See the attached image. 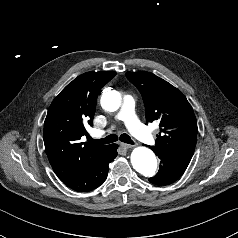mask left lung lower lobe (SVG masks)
I'll return each instance as SVG.
<instances>
[{"mask_svg":"<svg viewBox=\"0 0 238 238\" xmlns=\"http://www.w3.org/2000/svg\"><path fill=\"white\" fill-rule=\"evenodd\" d=\"M155 154L161 159V165L158 173L149 178V181L156 185H169L179 179L185 172L191 158L170 153L167 151L153 150Z\"/></svg>","mask_w":238,"mask_h":238,"instance_id":"obj_1","label":"left lung lower lobe"}]
</instances>
